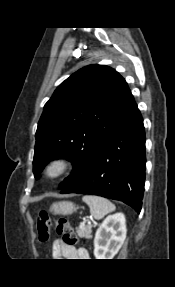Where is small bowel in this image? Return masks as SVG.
I'll return each mask as SVG.
<instances>
[{
    "label": "small bowel",
    "instance_id": "1",
    "mask_svg": "<svg viewBox=\"0 0 175 287\" xmlns=\"http://www.w3.org/2000/svg\"><path fill=\"white\" fill-rule=\"evenodd\" d=\"M52 254L55 258L63 257L66 259H88L89 252L85 248H75L63 242L61 238H57L53 242Z\"/></svg>",
    "mask_w": 175,
    "mask_h": 287
}]
</instances>
